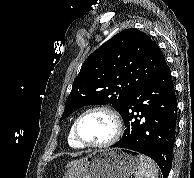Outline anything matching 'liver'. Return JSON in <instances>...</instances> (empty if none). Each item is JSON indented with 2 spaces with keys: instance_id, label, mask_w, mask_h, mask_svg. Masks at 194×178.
<instances>
[{
  "instance_id": "6515ba94",
  "label": "liver",
  "mask_w": 194,
  "mask_h": 178,
  "mask_svg": "<svg viewBox=\"0 0 194 178\" xmlns=\"http://www.w3.org/2000/svg\"><path fill=\"white\" fill-rule=\"evenodd\" d=\"M80 161H82L81 159L80 160H74V161H72V162H70V163H68V167H72V166H74V165H76V164H78Z\"/></svg>"
}]
</instances>
